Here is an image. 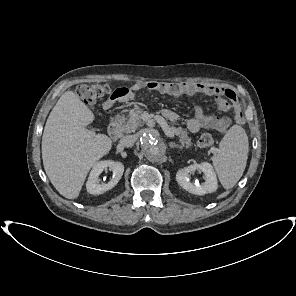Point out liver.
<instances>
[{"label": "liver", "mask_w": 296, "mask_h": 296, "mask_svg": "<svg viewBox=\"0 0 296 296\" xmlns=\"http://www.w3.org/2000/svg\"><path fill=\"white\" fill-rule=\"evenodd\" d=\"M93 112L77 93L66 91L52 109L42 136V159L52 185L65 198L79 196L92 166L109 153L112 140L86 128Z\"/></svg>", "instance_id": "1"}]
</instances>
